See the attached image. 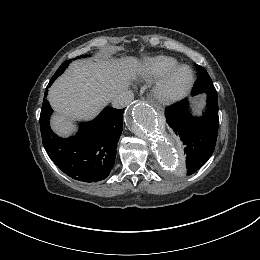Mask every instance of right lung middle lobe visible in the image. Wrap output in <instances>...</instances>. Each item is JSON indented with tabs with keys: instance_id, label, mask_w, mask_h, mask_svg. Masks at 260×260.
<instances>
[{
	"instance_id": "right-lung-middle-lobe-1",
	"label": "right lung middle lobe",
	"mask_w": 260,
	"mask_h": 260,
	"mask_svg": "<svg viewBox=\"0 0 260 260\" xmlns=\"http://www.w3.org/2000/svg\"><path fill=\"white\" fill-rule=\"evenodd\" d=\"M79 57H87V56L84 55V56H79ZM79 57H77V58H79ZM69 63H70V61H65V62L59 67V69L56 71V73L54 74L53 77L57 78L59 75H61V74L64 72L65 68L69 65Z\"/></svg>"
}]
</instances>
